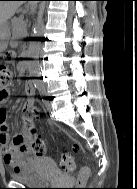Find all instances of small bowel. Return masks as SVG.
<instances>
[{"label":"small bowel","mask_w":137,"mask_h":189,"mask_svg":"<svg viewBox=\"0 0 137 189\" xmlns=\"http://www.w3.org/2000/svg\"><path fill=\"white\" fill-rule=\"evenodd\" d=\"M19 72L23 73L21 68ZM25 91L28 96H33L35 93L33 83H27L25 86ZM5 102L6 97L0 98V147L3 153L5 165L10 167L13 171H17L20 168L30 165L33 161L31 151L25 146L24 141L27 138V130L32 129L34 127V123L31 117L25 115V125L23 129L11 136L7 123V110L3 106ZM32 104L33 101L31 99L28 100L26 103V108Z\"/></svg>","instance_id":"obj_1"}]
</instances>
